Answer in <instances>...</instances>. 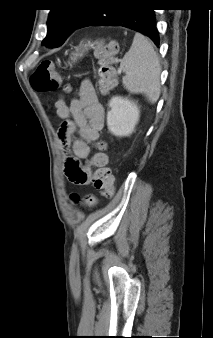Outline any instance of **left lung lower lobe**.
Here are the masks:
<instances>
[{
  "label": "left lung lower lobe",
  "instance_id": "obj_1",
  "mask_svg": "<svg viewBox=\"0 0 213 338\" xmlns=\"http://www.w3.org/2000/svg\"><path fill=\"white\" fill-rule=\"evenodd\" d=\"M123 26L148 36L159 46L154 9L147 0H107L98 4L78 25Z\"/></svg>",
  "mask_w": 213,
  "mask_h": 338
}]
</instances>
